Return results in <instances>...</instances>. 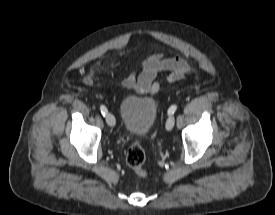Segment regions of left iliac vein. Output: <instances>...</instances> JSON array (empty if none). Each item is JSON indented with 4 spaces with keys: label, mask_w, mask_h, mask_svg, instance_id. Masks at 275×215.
Segmentation results:
<instances>
[{
    "label": "left iliac vein",
    "mask_w": 275,
    "mask_h": 215,
    "mask_svg": "<svg viewBox=\"0 0 275 215\" xmlns=\"http://www.w3.org/2000/svg\"><path fill=\"white\" fill-rule=\"evenodd\" d=\"M175 118L173 115H170L166 121V130L171 131L174 127Z\"/></svg>",
    "instance_id": "obj_1"
}]
</instances>
